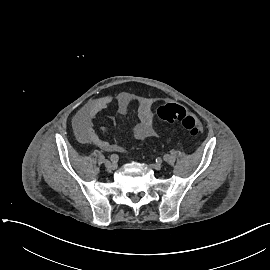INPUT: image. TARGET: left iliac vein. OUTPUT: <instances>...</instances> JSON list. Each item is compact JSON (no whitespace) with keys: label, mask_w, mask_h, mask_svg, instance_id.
I'll return each mask as SVG.
<instances>
[{"label":"left iliac vein","mask_w":270,"mask_h":270,"mask_svg":"<svg viewBox=\"0 0 270 270\" xmlns=\"http://www.w3.org/2000/svg\"><path fill=\"white\" fill-rule=\"evenodd\" d=\"M151 167L155 170H160L162 168V164L161 163H155L153 165H151Z\"/></svg>","instance_id":"1"}]
</instances>
